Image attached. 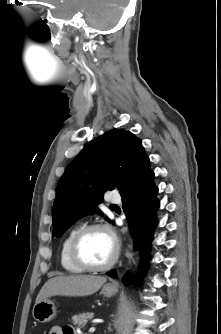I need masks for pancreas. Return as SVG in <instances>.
<instances>
[{"label": "pancreas", "mask_w": 221, "mask_h": 334, "mask_svg": "<svg viewBox=\"0 0 221 334\" xmlns=\"http://www.w3.org/2000/svg\"><path fill=\"white\" fill-rule=\"evenodd\" d=\"M93 318V313H81L79 315H74L72 321L74 325H77L78 328H82L86 325L89 319Z\"/></svg>", "instance_id": "pancreas-1"}]
</instances>
